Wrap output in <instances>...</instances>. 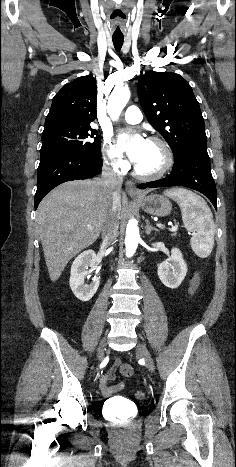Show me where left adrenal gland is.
Returning a JSON list of instances; mask_svg holds the SVG:
<instances>
[{
  "instance_id": "a2214340",
  "label": "left adrenal gland",
  "mask_w": 236,
  "mask_h": 467,
  "mask_svg": "<svg viewBox=\"0 0 236 467\" xmlns=\"http://www.w3.org/2000/svg\"><path fill=\"white\" fill-rule=\"evenodd\" d=\"M151 231H158V229H156L152 225H150L149 220H146L145 232H146L147 235H149L151 233Z\"/></svg>"
}]
</instances>
